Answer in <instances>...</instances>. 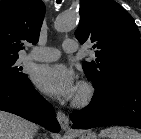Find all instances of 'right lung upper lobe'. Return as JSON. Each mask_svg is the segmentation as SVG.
<instances>
[{
	"label": "right lung upper lobe",
	"instance_id": "right-lung-upper-lobe-1",
	"mask_svg": "<svg viewBox=\"0 0 141 139\" xmlns=\"http://www.w3.org/2000/svg\"><path fill=\"white\" fill-rule=\"evenodd\" d=\"M44 14L41 0H1L0 56H18L24 42L36 44Z\"/></svg>",
	"mask_w": 141,
	"mask_h": 139
}]
</instances>
